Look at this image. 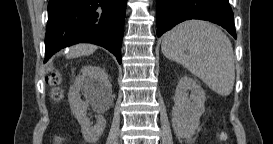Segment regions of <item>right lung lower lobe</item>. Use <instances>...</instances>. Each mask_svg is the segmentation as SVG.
I'll list each match as a JSON object with an SVG mask.
<instances>
[{
    "label": "right lung lower lobe",
    "mask_w": 273,
    "mask_h": 144,
    "mask_svg": "<svg viewBox=\"0 0 273 144\" xmlns=\"http://www.w3.org/2000/svg\"><path fill=\"white\" fill-rule=\"evenodd\" d=\"M127 0H50L45 60L67 46L90 42L113 53L121 63Z\"/></svg>",
    "instance_id": "right-lung-lower-lobe-1"
}]
</instances>
